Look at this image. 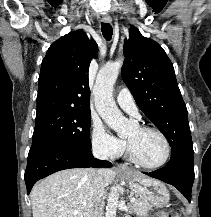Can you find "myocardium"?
I'll list each match as a JSON object with an SVG mask.
<instances>
[{
  "label": "myocardium",
  "mask_w": 211,
  "mask_h": 217,
  "mask_svg": "<svg viewBox=\"0 0 211 217\" xmlns=\"http://www.w3.org/2000/svg\"><path fill=\"white\" fill-rule=\"evenodd\" d=\"M141 131H152L157 133L163 140L164 144H165V156L163 158V160L157 164H146L144 162H142L137 155L135 154L130 142H127V154L129 159L136 164L139 167L145 168V169H158L163 167L169 160L170 155H171V146H170V142L167 138V136L164 134V132H162L160 129L153 127V126H147V125H141L138 127Z\"/></svg>",
  "instance_id": "myocardium-1"
}]
</instances>
